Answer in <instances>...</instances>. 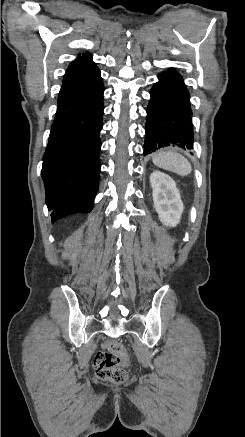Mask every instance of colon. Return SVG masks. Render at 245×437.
<instances>
[{"label": "colon", "instance_id": "obj_1", "mask_svg": "<svg viewBox=\"0 0 245 437\" xmlns=\"http://www.w3.org/2000/svg\"><path fill=\"white\" fill-rule=\"evenodd\" d=\"M129 363V354L120 343L110 340L105 349L95 357L94 369L96 375L113 383H123L127 379L125 367Z\"/></svg>", "mask_w": 245, "mask_h": 437}]
</instances>
